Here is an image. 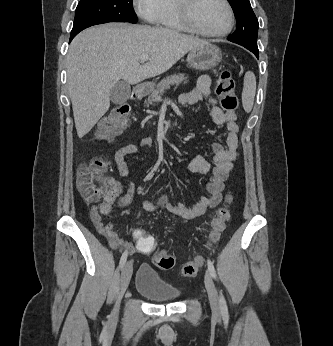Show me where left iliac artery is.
<instances>
[{
  "label": "left iliac artery",
  "mask_w": 333,
  "mask_h": 346,
  "mask_svg": "<svg viewBox=\"0 0 333 346\" xmlns=\"http://www.w3.org/2000/svg\"><path fill=\"white\" fill-rule=\"evenodd\" d=\"M207 265H208V270L211 274V276L215 279L216 278V271L214 268L213 263L211 262V260H207ZM220 308H221V312H222V316L224 319H228V309H227V304H226V300L224 298V296L220 295Z\"/></svg>",
  "instance_id": "left-iliac-artery-1"
}]
</instances>
